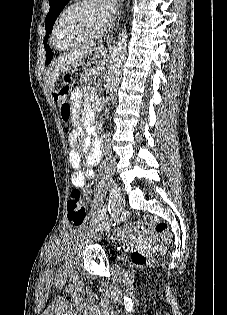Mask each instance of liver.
<instances>
[{
	"instance_id": "liver-1",
	"label": "liver",
	"mask_w": 227,
	"mask_h": 315,
	"mask_svg": "<svg viewBox=\"0 0 227 315\" xmlns=\"http://www.w3.org/2000/svg\"><path fill=\"white\" fill-rule=\"evenodd\" d=\"M82 55L83 53L79 51L70 52L51 63L49 71L46 73V84L51 92L54 91L55 83L61 73L69 71L72 67L78 66Z\"/></svg>"
}]
</instances>
